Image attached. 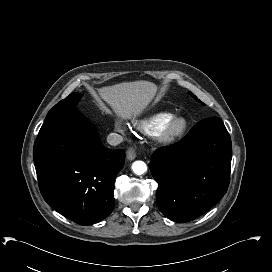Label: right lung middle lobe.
<instances>
[{
  "label": "right lung middle lobe",
  "instance_id": "1",
  "mask_svg": "<svg viewBox=\"0 0 272 272\" xmlns=\"http://www.w3.org/2000/svg\"><path fill=\"white\" fill-rule=\"evenodd\" d=\"M82 97V94L79 93H71L68 97H66L64 100L60 101L58 104H56L47 114L46 119L50 118L51 116L63 112V111H69L71 109H74L79 99ZM45 119V120H46Z\"/></svg>",
  "mask_w": 272,
  "mask_h": 272
}]
</instances>
